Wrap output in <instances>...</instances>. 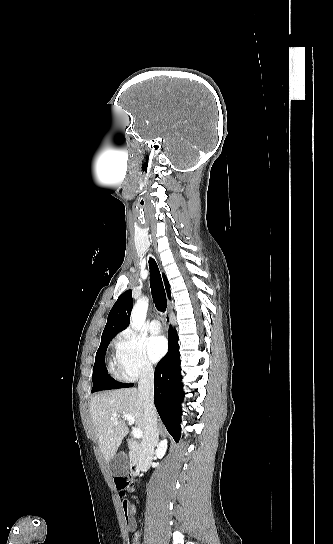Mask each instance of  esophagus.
I'll list each match as a JSON object with an SVG mask.
<instances>
[{"label": "esophagus", "mask_w": 333, "mask_h": 544, "mask_svg": "<svg viewBox=\"0 0 333 544\" xmlns=\"http://www.w3.org/2000/svg\"><path fill=\"white\" fill-rule=\"evenodd\" d=\"M165 322H166L167 325H170V315L169 314H167L165 316Z\"/></svg>", "instance_id": "34e87169"}]
</instances>
